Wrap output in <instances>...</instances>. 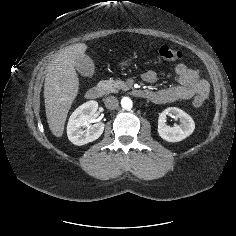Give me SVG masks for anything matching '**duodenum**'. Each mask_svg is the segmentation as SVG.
<instances>
[{
  "instance_id": "obj_1",
  "label": "duodenum",
  "mask_w": 236,
  "mask_h": 236,
  "mask_svg": "<svg viewBox=\"0 0 236 236\" xmlns=\"http://www.w3.org/2000/svg\"><path fill=\"white\" fill-rule=\"evenodd\" d=\"M104 92V88L103 86H94L91 87L87 90L86 92V98L88 100H96L98 98H100L102 96ZM131 92L138 95V96H146L147 91L143 90V89H131Z\"/></svg>"
}]
</instances>
